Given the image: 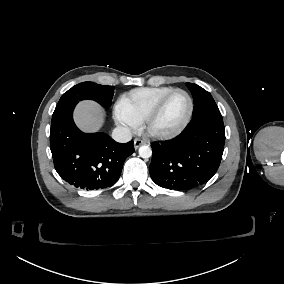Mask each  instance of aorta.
Here are the masks:
<instances>
[{"label": "aorta", "instance_id": "aorta-1", "mask_svg": "<svg viewBox=\"0 0 284 284\" xmlns=\"http://www.w3.org/2000/svg\"><path fill=\"white\" fill-rule=\"evenodd\" d=\"M139 155L142 158H149L152 156V150L149 146L143 145L139 148Z\"/></svg>", "mask_w": 284, "mask_h": 284}]
</instances>
